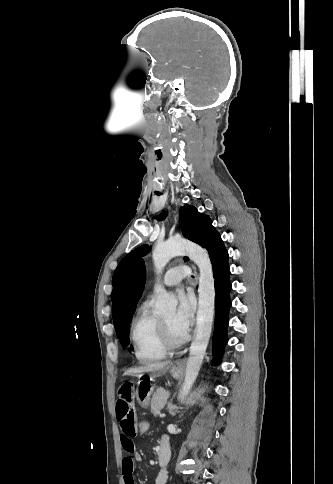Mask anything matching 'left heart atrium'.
I'll return each mask as SVG.
<instances>
[{
    "mask_svg": "<svg viewBox=\"0 0 333 484\" xmlns=\"http://www.w3.org/2000/svg\"><path fill=\"white\" fill-rule=\"evenodd\" d=\"M178 305L174 313V325L178 331L186 334L189 330L195 310V303L192 296L179 292L177 295Z\"/></svg>",
    "mask_w": 333,
    "mask_h": 484,
    "instance_id": "1",
    "label": "left heart atrium"
}]
</instances>
